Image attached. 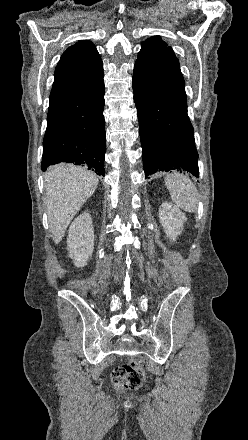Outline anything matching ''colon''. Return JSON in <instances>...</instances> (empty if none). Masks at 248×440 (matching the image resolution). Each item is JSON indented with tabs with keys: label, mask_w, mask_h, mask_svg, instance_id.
Returning a JSON list of instances; mask_svg holds the SVG:
<instances>
[{
	"label": "colon",
	"mask_w": 248,
	"mask_h": 440,
	"mask_svg": "<svg viewBox=\"0 0 248 440\" xmlns=\"http://www.w3.org/2000/svg\"><path fill=\"white\" fill-rule=\"evenodd\" d=\"M111 378L114 387L117 389H137L144 382V372L138 363L130 361L116 366Z\"/></svg>",
	"instance_id": "colon-1"
}]
</instances>
